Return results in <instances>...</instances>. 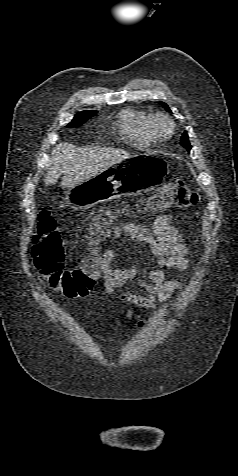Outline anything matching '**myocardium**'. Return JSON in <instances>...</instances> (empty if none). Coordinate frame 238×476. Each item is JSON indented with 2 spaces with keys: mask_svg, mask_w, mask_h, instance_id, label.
I'll return each mask as SVG.
<instances>
[{
  "mask_svg": "<svg viewBox=\"0 0 238 476\" xmlns=\"http://www.w3.org/2000/svg\"><path fill=\"white\" fill-rule=\"evenodd\" d=\"M167 125L168 129L164 130L163 126ZM150 130L156 141H165L170 139L175 132V123L171 117L164 113H156L150 117Z\"/></svg>",
  "mask_w": 238,
  "mask_h": 476,
  "instance_id": "obj_1",
  "label": "myocardium"
}]
</instances>
